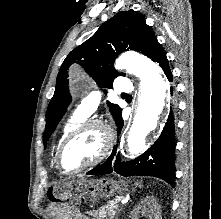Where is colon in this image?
Segmentation results:
<instances>
[{
	"label": "colon",
	"instance_id": "colon-1",
	"mask_svg": "<svg viewBox=\"0 0 221 219\" xmlns=\"http://www.w3.org/2000/svg\"><path fill=\"white\" fill-rule=\"evenodd\" d=\"M60 188H56L55 192H56V197L54 198L52 195L49 196V199L52 201H56L59 203H65L67 202L69 199H63V195H60Z\"/></svg>",
	"mask_w": 221,
	"mask_h": 219
}]
</instances>
